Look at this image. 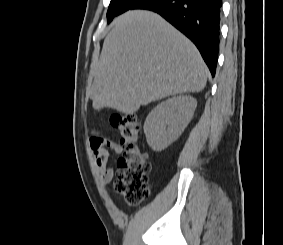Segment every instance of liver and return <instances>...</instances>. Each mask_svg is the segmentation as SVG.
<instances>
[{
    "label": "liver",
    "instance_id": "6515ba94",
    "mask_svg": "<svg viewBox=\"0 0 283 245\" xmlns=\"http://www.w3.org/2000/svg\"><path fill=\"white\" fill-rule=\"evenodd\" d=\"M207 76L195 45L160 15L127 11L104 40L91 98L96 110L131 115L152 101L202 91Z\"/></svg>",
    "mask_w": 283,
    "mask_h": 245
}]
</instances>
